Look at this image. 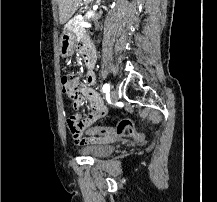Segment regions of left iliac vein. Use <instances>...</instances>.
Instances as JSON below:
<instances>
[{"label": "left iliac vein", "mask_w": 217, "mask_h": 202, "mask_svg": "<svg viewBox=\"0 0 217 202\" xmlns=\"http://www.w3.org/2000/svg\"><path fill=\"white\" fill-rule=\"evenodd\" d=\"M110 98L113 103L117 102L119 99L118 90H112L110 93Z\"/></svg>", "instance_id": "4c4485c4"}]
</instances>
